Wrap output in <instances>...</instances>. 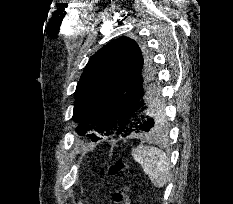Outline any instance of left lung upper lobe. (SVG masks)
<instances>
[{"mask_svg":"<svg viewBox=\"0 0 233 204\" xmlns=\"http://www.w3.org/2000/svg\"><path fill=\"white\" fill-rule=\"evenodd\" d=\"M152 69L150 57L128 37H120L98 50L89 60L77 84L73 120L76 131L92 141L119 136L118 109L122 98L144 70ZM158 127L165 126L163 105L155 110Z\"/></svg>","mask_w":233,"mask_h":204,"instance_id":"1","label":"left lung upper lobe"}]
</instances>
